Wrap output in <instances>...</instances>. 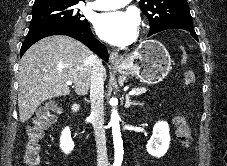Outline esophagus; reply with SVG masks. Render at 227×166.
Instances as JSON below:
<instances>
[{
	"label": "esophagus",
	"mask_w": 227,
	"mask_h": 166,
	"mask_svg": "<svg viewBox=\"0 0 227 166\" xmlns=\"http://www.w3.org/2000/svg\"><path fill=\"white\" fill-rule=\"evenodd\" d=\"M109 61L111 64H119L121 62V57L118 51H112L110 53Z\"/></svg>",
	"instance_id": "34e87169"
}]
</instances>
